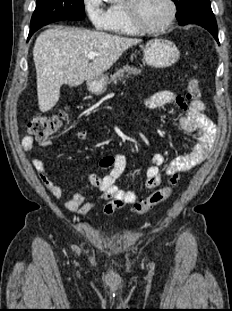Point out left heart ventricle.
<instances>
[{
    "instance_id": "1",
    "label": "left heart ventricle",
    "mask_w": 232,
    "mask_h": 311,
    "mask_svg": "<svg viewBox=\"0 0 232 311\" xmlns=\"http://www.w3.org/2000/svg\"><path fill=\"white\" fill-rule=\"evenodd\" d=\"M169 5L166 0H138L137 14L141 23L147 27H158L169 16Z\"/></svg>"
}]
</instances>
